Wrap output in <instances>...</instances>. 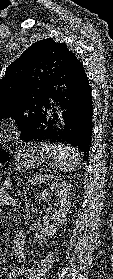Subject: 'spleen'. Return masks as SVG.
<instances>
[{
    "label": "spleen",
    "mask_w": 113,
    "mask_h": 279,
    "mask_svg": "<svg viewBox=\"0 0 113 279\" xmlns=\"http://www.w3.org/2000/svg\"><path fill=\"white\" fill-rule=\"evenodd\" d=\"M40 146L52 155L55 166L63 173L74 171L80 164L82 156L75 147L63 144H49L46 142H41Z\"/></svg>",
    "instance_id": "obj_1"
}]
</instances>
